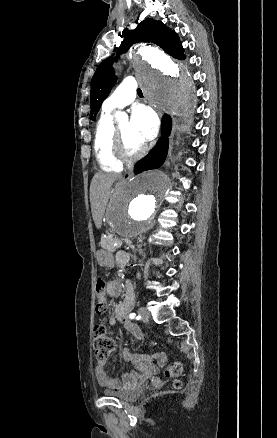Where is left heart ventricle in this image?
I'll list each match as a JSON object with an SVG mask.
<instances>
[{
  "instance_id": "obj_1",
  "label": "left heart ventricle",
  "mask_w": 277,
  "mask_h": 438,
  "mask_svg": "<svg viewBox=\"0 0 277 438\" xmlns=\"http://www.w3.org/2000/svg\"><path fill=\"white\" fill-rule=\"evenodd\" d=\"M118 129L124 138L128 153L131 155L138 154L141 151V147L132 132L131 124H129V122L123 123L118 126Z\"/></svg>"
}]
</instances>
